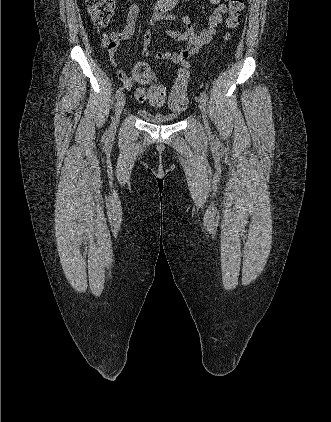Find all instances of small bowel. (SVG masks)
<instances>
[{"label":"small bowel","mask_w":331,"mask_h":422,"mask_svg":"<svg viewBox=\"0 0 331 422\" xmlns=\"http://www.w3.org/2000/svg\"><path fill=\"white\" fill-rule=\"evenodd\" d=\"M129 7L126 15V25L118 32H102L97 29L101 44L108 49L109 59L113 65L116 64L117 51L121 44L126 42L135 32L136 20L140 11L139 5L135 0H129ZM215 6L213 12L208 17L206 28L195 27L187 16H180L186 28L183 31L175 30L167 26L163 21L165 19H175L174 15H167L169 9L163 0H160L154 9L149 20V26L144 32V47L142 56L145 58L169 61L175 64H185L186 60L197 54L205 45L211 42L216 33L217 26L221 23L223 15L227 12L226 0H210ZM154 28L163 31L175 42L185 43L184 47L173 46L172 51H155L152 48ZM117 77L126 89H132L135 83H141L135 76H129L123 70H117ZM154 106H160L162 103H155L150 100Z\"/></svg>","instance_id":"1"}]
</instances>
